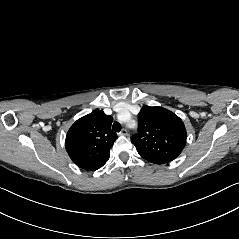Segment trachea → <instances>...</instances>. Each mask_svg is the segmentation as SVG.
Returning a JSON list of instances; mask_svg holds the SVG:
<instances>
[{
  "label": "trachea",
  "instance_id": "1",
  "mask_svg": "<svg viewBox=\"0 0 239 239\" xmlns=\"http://www.w3.org/2000/svg\"><path fill=\"white\" fill-rule=\"evenodd\" d=\"M112 129H113L115 132H119V131L121 130V125H120V123L114 122V123H113V126H112Z\"/></svg>",
  "mask_w": 239,
  "mask_h": 239
}]
</instances>
